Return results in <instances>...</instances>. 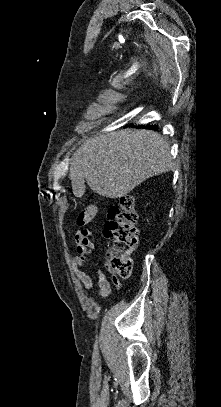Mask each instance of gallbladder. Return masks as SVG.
<instances>
[{
    "label": "gallbladder",
    "instance_id": "obj_1",
    "mask_svg": "<svg viewBox=\"0 0 221 407\" xmlns=\"http://www.w3.org/2000/svg\"><path fill=\"white\" fill-rule=\"evenodd\" d=\"M72 187L74 194H80L84 191L85 185H84V179H77L72 181Z\"/></svg>",
    "mask_w": 221,
    "mask_h": 407
}]
</instances>
